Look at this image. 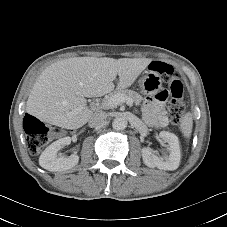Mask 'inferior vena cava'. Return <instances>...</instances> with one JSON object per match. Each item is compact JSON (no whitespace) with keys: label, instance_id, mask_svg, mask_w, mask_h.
<instances>
[{"label":"inferior vena cava","instance_id":"602c4592","mask_svg":"<svg viewBox=\"0 0 227 227\" xmlns=\"http://www.w3.org/2000/svg\"><path fill=\"white\" fill-rule=\"evenodd\" d=\"M107 118V114L103 111H97L93 113V115L90 117L88 121V125L91 128L98 127L102 125Z\"/></svg>","mask_w":227,"mask_h":227}]
</instances>
